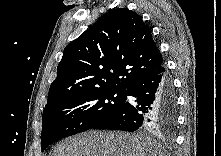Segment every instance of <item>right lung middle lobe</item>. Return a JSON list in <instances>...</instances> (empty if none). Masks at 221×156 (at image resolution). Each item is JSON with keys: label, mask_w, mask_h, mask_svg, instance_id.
Listing matches in <instances>:
<instances>
[{"label": "right lung middle lobe", "mask_w": 221, "mask_h": 156, "mask_svg": "<svg viewBox=\"0 0 221 156\" xmlns=\"http://www.w3.org/2000/svg\"><path fill=\"white\" fill-rule=\"evenodd\" d=\"M126 101L124 90H98L73 94L44 109L42 151L53 142L89 130Z\"/></svg>", "instance_id": "dd1d6c3e"}]
</instances>
